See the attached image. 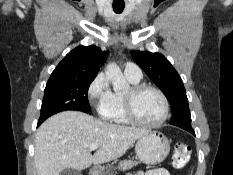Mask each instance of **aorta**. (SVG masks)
<instances>
[{
  "label": "aorta",
  "instance_id": "aorta-1",
  "mask_svg": "<svg viewBox=\"0 0 233 175\" xmlns=\"http://www.w3.org/2000/svg\"><path fill=\"white\" fill-rule=\"evenodd\" d=\"M105 75L112 83L115 92L121 91L127 86V82L122 74V71L115 63H109L105 70Z\"/></svg>",
  "mask_w": 233,
  "mask_h": 175
}]
</instances>
